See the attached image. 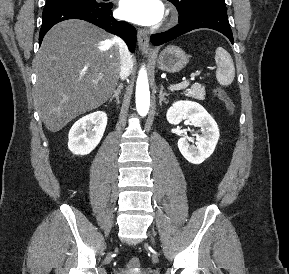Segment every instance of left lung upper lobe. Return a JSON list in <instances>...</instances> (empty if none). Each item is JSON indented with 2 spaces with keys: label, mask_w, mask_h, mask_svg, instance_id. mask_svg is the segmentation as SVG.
Wrapping results in <instances>:
<instances>
[{
  "label": "left lung upper lobe",
  "mask_w": 289,
  "mask_h": 274,
  "mask_svg": "<svg viewBox=\"0 0 289 274\" xmlns=\"http://www.w3.org/2000/svg\"><path fill=\"white\" fill-rule=\"evenodd\" d=\"M179 13V22L185 21L202 12L227 13L225 0H168Z\"/></svg>",
  "instance_id": "obj_1"
}]
</instances>
